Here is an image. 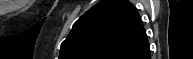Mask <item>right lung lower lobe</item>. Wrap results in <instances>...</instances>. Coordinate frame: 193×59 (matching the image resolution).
Listing matches in <instances>:
<instances>
[{
	"label": "right lung lower lobe",
	"instance_id": "98d812e1",
	"mask_svg": "<svg viewBox=\"0 0 193 59\" xmlns=\"http://www.w3.org/2000/svg\"><path fill=\"white\" fill-rule=\"evenodd\" d=\"M127 59H151L149 44L127 57Z\"/></svg>",
	"mask_w": 193,
	"mask_h": 59
}]
</instances>
